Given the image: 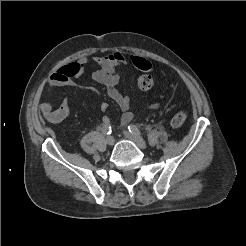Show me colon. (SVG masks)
Instances as JSON below:
<instances>
[{"mask_svg":"<svg viewBox=\"0 0 246 246\" xmlns=\"http://www.w3.org/2000/svg\"><path fill=\"white\" fill-rule=\"evenodd\" d=\"M131 60L133 65L143 72V74L137 78L138 88L143 91L150 90L153 86V78L149 74L152 68L151 63L147 59L138 56H132ZM186 119L187 113L185 111H178L173 115L171 125L173 127H180L185 123Z\"/></svg>","mask_w":246,"mask_h":246,"instance_id":"1","label":"colon"}]
</instances>
